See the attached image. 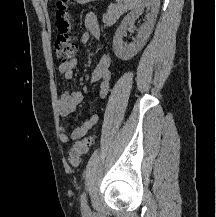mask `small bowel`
<instances>
[{"label": "small bowel", "mask_w": 216, "mask_h": 217, "mask_svg": "<svg viewBox=\"0 0 216 217\" xmlns=\"http://www.w3.org/2000/svg\"><path fill=\"white\" fill-rule=\"evenodd\" d=\"M85 32L82 36V41L86 43L91 37L99 39L100 29L97 21V17L93 13H88L84 17ZM77 59L73 58L70 62L60 64L58 67L59 72L70 81L74 77V70L77 66ZM111 57L105 54L101 57L97 67L91 74L90 82L92 84H99L100 91L99 96L104 99L110 88L111 79ZM83 101V94L77 90H70L64 92L57 101V112L59 116L66 117L75 111L76 107ZM99 115L93 113L90 117L79 127L68 132L65 126H61L59 129V138L63 143L70 141H77L84 137L93 126L97 124Z\"/></svg>", "instance_id": "c3829d8e"}]
</instances>
